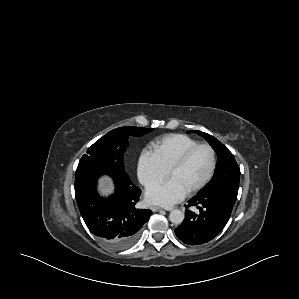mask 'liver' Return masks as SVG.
<instances>
[{
  "mask_svg": "<svg viewBox=\"0 0 299 299\" xmlns=\"http://www.w3.org/2000/svg\"><path fill=\"white\" fill-rule=\"evenodd\" d=\"M103 185H104L103 191H109L110 189H112L111 184L104 182Z\"/></svg>",
  "mask_w": 299,
  "mask_h": 299,
  "instance_id": "liver-1",
  "label": "liver"
}]
</instances>
